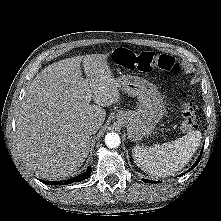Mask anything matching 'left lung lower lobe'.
I'll use <instances>...</instances> for the list:
<instances>
[{
	"mask_svg": "<svg viewBox=\"0 0 221 221\" xmlns=\"http://www.w3.org/2000/svg\"><path fill=\"white\" fill-rule=\"evenodd\" d=\"M202 152H203V150L201 151V154H200V156H199V158H198V160L196 161V163L191 167V169H189L187 172H189V171H191L192 169H194L195 167H196V165L198 164V162H199V160H200V158H201V155H202ZM186 172V173H187ZM185 173H183V174H181V175H184ZM144 182H146V183H158L157 181H152V180H146V179H142Z\"/></svg>",
	"mask_w": 221,
	"mask_h": 221,
	"instance_id": "left-lung-lower-lobe-1",
	"label": "left lung lower lobe"
}]
</instances>
